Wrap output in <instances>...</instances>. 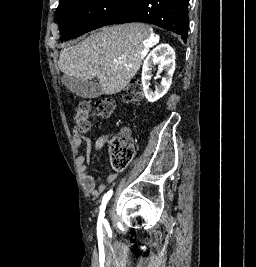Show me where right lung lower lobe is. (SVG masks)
<instances>
[{"instance_id": "1", "label": "right lung lower lobe", "mask_w": 256, "mask_h": 267, "mask_svg": "<svg viewBox=\"0 0 256 267\" xmlns=\"http://www.w3.org/2000/svg\"><path fill=\"white\" fill-rule=\"evenodd\" d=\"M188 5L189 0H138L129 14L117 16L105 25L127 22L151 23L181 35L186 42Z\"/></svg>"}]
</instances>
